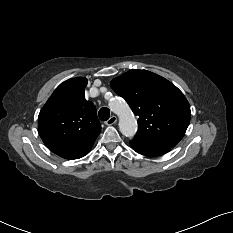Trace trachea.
<instances>
[{
  "label": "trachea",
  "mask_w": 233,
  "mask_h": 233,
  "mask_svg": "<svg viewBox=\"0 0 233 233\" xmlns=\"http://www.w3.org/2000/svg\"><path fill=\"white\" fill-rule=\"evenodd\" d=\"M98 115H99V119L101 121H106L109 119L110 117V110L107 108V107H102L99 112H98Z\"/></svg>",
  "instance_id": "obj_1"
}]
</instances>
